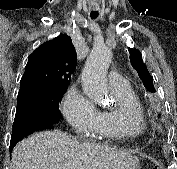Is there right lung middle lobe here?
Instances as JSON below:
<instances>
[{
    "mask_svg": "<svg viewBox=\"0 0 177 169\" xmlns=\"http://www.w3.org/2000/svg\"><path fill=\"white\" fill-rule=\"evenodd\" d=\"M65 92L66 90L48 97L33 95L18 97L15 120L37 118L52 124L58 123L62 117L59 103Z\"/></svg>",
    "mask_w": 177,
    "mask_h": 169,
    "instance_id": "dd1d6c3e",
    "label": "right lung middle lobe"
}]
</instances>
